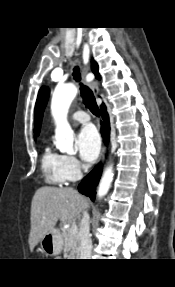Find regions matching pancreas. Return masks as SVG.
<instances>
[{"label":"pancreas","mask_w":175,"mask_h":287,"mask_svg":"<svg viewBox=\"0 0 175 287\" xmlns=\"http://www.w3.org/2000/svg\"><path fill=\"white\" fill-rule=\"evenodd\" d=\"M61 231L64 239V250L69 252L70 258L74 259L79 256L80 252L79 234L78 232L70 233V228L61 227Z\"/></svg>","instance_id":"pancreas-1"}]
</instances>
